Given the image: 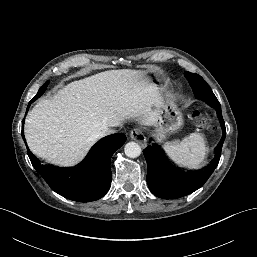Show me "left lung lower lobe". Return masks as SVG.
Listing matches in <instances>:
<instances>
[{"label": "left lung lower lobe", "instance_id": "obj_1", "mask_svg": "<svg viewBox=\"0 0 257 257\" xmlns=\"http://www.w3.org/2000/svg\"><path fill=\"white\" fill-rule=\"evenodd\" d=\"M223 129V137L214 149L212 162L199 170H185L175 166L157 144L144 149L147 161V184L151 192L163 199H175L186 196L204 185L217 167L223 142L226 136L221 106L215 107Z\"/></svg>", "mask_w": 257, "mask_h": 257}]
</instances>
